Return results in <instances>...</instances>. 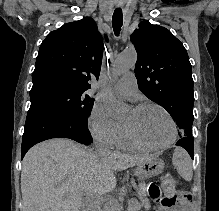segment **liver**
I'll return each instance as SVG.
<instances>
[{"instance_id": "1", "label": "liver", "mask_w": 219, "mask_h": 211, "mask_svg": "<svg viewBox=\"0 0 219 211\" xmlns=\"http://www.w3.org/2000/svg\"><path fill=\"white\" fill-rule=\"evenodd\" d=\"M148 155L121 151L97 155L67 137H54L27 151L21 171L23 211H95L104 191L115 187L116 171ZM66 195V197H63ZM82 195H86L84 201Z\"/></svg>"}]
</instances>
